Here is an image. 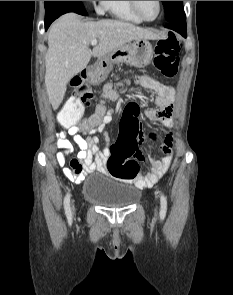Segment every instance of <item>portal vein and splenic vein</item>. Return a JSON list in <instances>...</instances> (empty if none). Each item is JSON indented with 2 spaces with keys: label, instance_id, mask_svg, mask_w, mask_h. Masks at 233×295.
<instances>
[{
  "label": "portal vein and splenic vein",
  "instance_id": "portal-vein-and-splenic-vein-1",
  "mask_svg": "<svg viewBox=\"0 0 233 295\" xmlns=\"http://www.w3.org/2000/svg\"><path fill=\"white\" fill-rule=\"evenodd\" d=\"M97 42H98L97 39H94V40L91 41V45L95 46L97 44Z\"/></svg>",
  "mask_w": 233,
  "mask_h": 295
}]
</instances>
